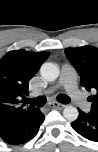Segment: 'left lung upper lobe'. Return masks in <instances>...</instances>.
<instances>
[{
  "label": "left lung upper lobe",
  "instance_id": "left-lung-upper-lobe-1",
  "mask_svg": "<svg viewBox=\"0 0 98 152\" xmlns=\"http://www.w3.org/2000/svg\"><path fill=\"white\" fill-rule=\"evenodd\" d=\"M65 54L81 78V85L94 95L88 97L92 102L90 112L98 115V49L83 46L65 49Z\"/></svg>",
  "mask_w": 98,
  "mask_h": 152
}]
</instances>
